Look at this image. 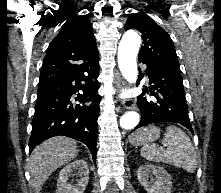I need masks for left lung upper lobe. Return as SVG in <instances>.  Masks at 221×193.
I'll return each instance as SVG.
<instances>
[{
  "mask_svg": "<svg viewBox=\"0 0 221 193\" xmlns=\"http://www.w3.org/2000/svg\"><path fill=\"white\" fill-rule=\"evenodd\" d=\"M135 28L142 34L143 46L138 59L180 72L176 51L170 36L143 12L133 13L126 21L125 30Z\"/></svg>",
  "mask_w": 221,
  "mask_h": 193,
  "instance_id": "left-lung-upper-lobe-1",
  "label": "left lung upper lobe"
}]
</instances>
